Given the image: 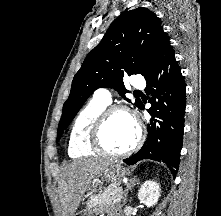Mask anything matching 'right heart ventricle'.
Listing matches in <instances>:
<instances>
[{
    "label": "right heart ventricle",
    "mask_w": 221,
    "mask_h": 216,
    "mask_svg": "<svg viewBox=\"0 0 221 216\" xmlns=\"http://www.w3.org/2000/svg\"><path fill=\"white\" fill-rule=\"evenodd\" d=\"M106 108V104L93 99L78 113L69 132L68 154L70 157L80 158L95 154L88 143L89 129Z\"/></svg>",
    "instance_id": "obj_1"
}]
</instances>
